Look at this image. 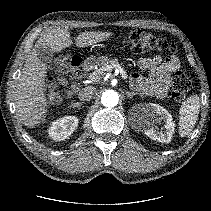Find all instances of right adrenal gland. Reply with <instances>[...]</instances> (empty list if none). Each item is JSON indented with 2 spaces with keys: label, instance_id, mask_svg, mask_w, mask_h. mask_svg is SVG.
<instances>
[{
  "label": "right adrenal gland",
  "instance_id": "obj_1",
  "mask_svg": "<svg viewBox=\"0 0 211 211\" xmlns=\"http://www.w3.org/2000/svg\"><path fill=\"white\" fill-rule=\"evenodd\" d=\"M82 105H83L82 102H75V103H71V104L69 105V108L72 107V108L80 109Z\"/></svg>",
  "mask_w": 211,
  "mask_h": 211
}]
</instances>
